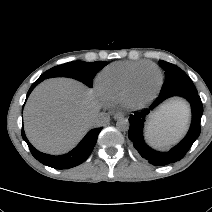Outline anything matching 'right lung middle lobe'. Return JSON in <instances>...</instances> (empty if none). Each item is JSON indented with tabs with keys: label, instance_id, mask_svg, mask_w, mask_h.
Listing matches in <instances>:
<instances>
[{
	"label": "right lung middle lobe",
	"instance_id": "right-lung-middle-lobe-1",
	"mask_svg": "<svg viewBox=\"0 0 212 212\" xmlns=\"http://www.w3.org/2000/svg\"><path fill=\"white\" fill-rule=\"evenodd\" d=\"M106 61L84 62L73 61L58 65L46 71L41 76L47 78L51 77H69L83 82L88 87H92L94 76L107 65Z\"/></svg>",
	"mask_w": 212,
	"mask_h": 212
}]
</instances>
